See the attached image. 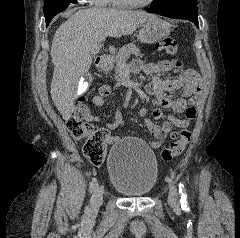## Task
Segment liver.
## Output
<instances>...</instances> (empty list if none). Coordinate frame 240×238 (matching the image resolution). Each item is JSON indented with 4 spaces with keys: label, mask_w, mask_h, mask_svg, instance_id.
I'll return each mask as SVG.
<instances>
[{
    "label": "liver",
    "mask_w": 240,
    "mask_h": 238,
    "mask_svg": "<svg viewBox=\"0 0 240 238\" xmlns=\"http://www.w3.org/2000/svg\"><path fill=\"white\" fill-rule=\"evenodd\" d=\"M155 19L156 15L144 11L92 8L75 12L60 25L51 46L54 65L51 98L63 119L68 120L74 111L80 77L92 64V47L108 36L131 35Z\"/></svg>",
    "instance_id": "liver-1"
}]
</instances>
